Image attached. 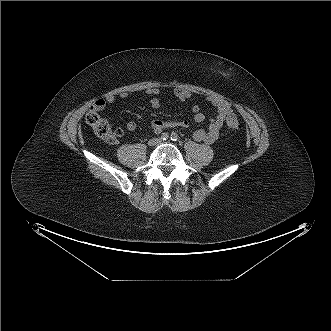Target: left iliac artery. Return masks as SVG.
Masks as SVG:
<instances>
[{
	"instance_id": "obj_1",
	"label": "left iliac artery",
	"mask_w": 331,
	"mask_h": 331,
	"mask_svg": "<svg viewBox=\"0 0 331 331\" xmlns=\"http://www.w3.org/2000/svg\"><path fill=\"white\" fill-rule=\"evenodd\" d=\"M170 139L172 141H177L178 140V135L176 133H172L171 136H170Z\"/></svg>"
}]
</instances>
